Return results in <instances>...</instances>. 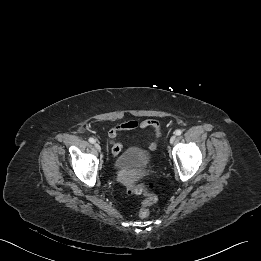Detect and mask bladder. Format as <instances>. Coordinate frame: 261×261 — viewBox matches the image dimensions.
Segmentation results:
<instances>
[{
    "instance_id": "1",
    "label": "bladder",
    "mask_w": 261,
    "mask_h": 261,
    "mask_svg": "<svg viewBox=\"0 0 261 261\" xmlns=\"http://www.w3.org/2000/svg\"><path fill=\"white\" fill-rule=\"evenodd\" d=\"M148 164L147 158L141 154L139 147L132 146L119 153L115 159L116 170L138 169Z\"/></svg>"
}]
</instances>
